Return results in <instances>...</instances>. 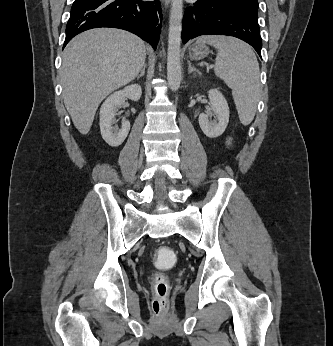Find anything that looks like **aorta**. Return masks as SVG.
I'll return each mask as SVG.
<instances>
[{
    "label": "aorta",
    "instance_id": "762f6f07",
    "mask_svg": "<svg viewBox=\"0 0 333 346\" xmlns=\"http://www.w3.org/2000/svg\"><path fill=\"white\" fill-rule=\"evenodd\" d=\"M183 0H172L169 18L167 80L171 90L176 91L181 82V23Z\"/></svg>",
    "mask_w": 333,
    "mask_h": 346
}]
</instances>
